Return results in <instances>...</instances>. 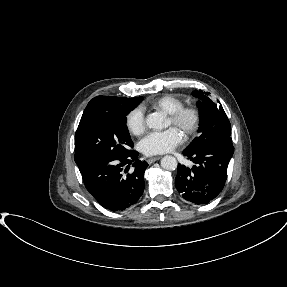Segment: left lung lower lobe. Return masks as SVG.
<instances>
[{
  "label": "left lung lower lobe",
  "instance_id": "left-lung-lower-lobe-1",
  "mask_svg": "<svg viewBox=\"0 0 287 287\" xmlns=\"http://www.w3.org/2000/svg\"><path fill=\"white\" fill-rule=\"evenodd\" d=\"M234 153L231 137L194 152L184 151L195 165L190 169L178 164L175 185L183 198L195 204H206L223 189L227 167Z\"/></svg>",
  "mask_w": 287,
  "mask_h": 287
}]
</instances>
